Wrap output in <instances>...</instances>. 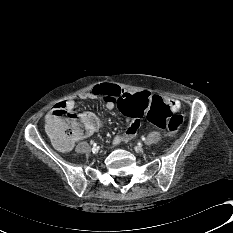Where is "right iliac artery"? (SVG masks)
<instances>
[{"instance_id": "right-iliac-artery-1", "label": "right iliac artery", "mask_w": 233, "mask_h": 233, "mask_svg": "<svg viewBox=\"0 0 233 233\" xmlns=\"http://www.w3.org/2000/svg\"><path fill=\"white\" fill-rule=\"evenodd\" d=\"M97 145L94 143L93 144V148L95 149V148H97L98 149V147H96ZM94 153V152H93Z\"/></svg>"}]
</instances>
